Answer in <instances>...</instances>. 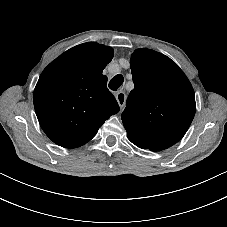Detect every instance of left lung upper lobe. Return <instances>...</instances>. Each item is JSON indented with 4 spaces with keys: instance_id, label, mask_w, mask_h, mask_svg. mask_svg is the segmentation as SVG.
I'll use <instances>...</instances> for the list:
<instances>
[{
    "instance_id": "obj_1",
    "label": "left lung upper lobe",
    "mask_w": 227,
    "mask_h": 227,
    "mask_svg": "<svg viewBox=\"0 0 227 227\" xmlns=\"http://www.w3.org/2000/svg\"><path fill=\"white\" fill-rule=\"evenodd\" d=\"M130 66L134 89L121 118L129 140L152 151L177 143L196 111L195 94L186 75L169 57L137 49Z\"/></svg>"
}]
</instances>
